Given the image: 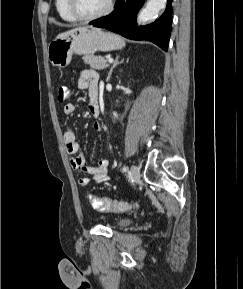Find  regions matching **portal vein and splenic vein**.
Returning <instances> with one entry per match:
<instances>
[{
	"label": "portal vein and splenic vein",
	"mask_w": 243,
	"mask_h": 289,
	"mask_svg": "<svg viewBox=\"0 0 243 289\" xmlns=\"http://www.w3.org/2000/svg\"><path fill=\"white\" fill-rule=\"evenodd\" d=\"M108 62H109V63H112V62H113V59H112V58H109V59H108Z\"/></svg>",
	"instance_id": "portal-vein-and-splenic-vein-1"
}]
</instances>
